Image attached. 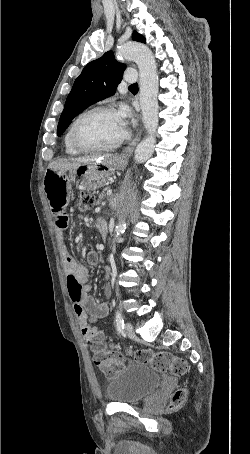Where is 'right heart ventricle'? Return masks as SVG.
Instances as JSON below:
<instances>
[{"mask_svg":"<svg viewBox=\"0 0 250 454\" xmlns=\"http://www.w3.org/2000/svg\"><path fill=\"white\" fill-rule=\"evenodd\" d=\"M73 123L69 126L68 130L66 131V134L64 137V143H65L66 152L71 155H76V154H79L80 151L77 150L70 142V130H71Z\"/></svg>","mask_w":250,"mask_h":454,"instance_id":"1","label":"right heart ventricle"}]
</instances>
